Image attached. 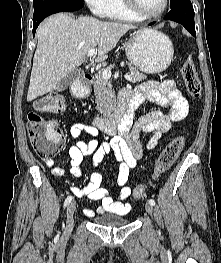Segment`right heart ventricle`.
<instances>
[{
    "label": "right heart ventricle",
    "instance_id": "e07e8e85",
    "mask_svg": "<svg viewBox=\"0 0 221 263\" xmlns=\"http://www.w3.org/2000/svg\"><path fill=\"white\" fill-rule=\"evenodd\" d=\"M108 18L119 21H138L125 5L124 0H110L106 15Z\"/></svg>",
    "mask_w": 221,
    "mask_h": 263
}]
</instances>
